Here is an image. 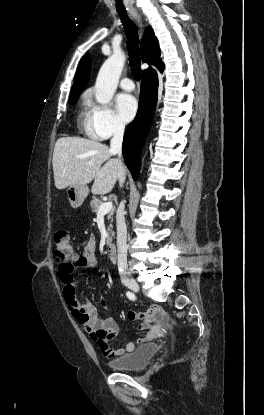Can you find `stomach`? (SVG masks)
Masks as SVG:
<instances>
[{
    "label": "stomach",
    "instance_id": "0dacf381",
    "mask_svg": "<svg viewBox=\"0 0 264 415\" xmlns=\"http://www.w3.org/2000/svg\"><path fill=\"white\" fill-rule=\"evenodd\" d=\"M89 193L86 185H71L66 189V195L71 207H80Z\"/></svg>",
    "mask_w": 264,
    "mask_h": 415
}]
</instances>
